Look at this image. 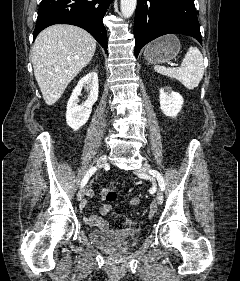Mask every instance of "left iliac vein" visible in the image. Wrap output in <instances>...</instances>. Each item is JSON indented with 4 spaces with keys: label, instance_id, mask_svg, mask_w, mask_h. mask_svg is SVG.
Here are the masks:
<instances>
[{
    "label": "left iliac vein",
    "instance_id": "4c4485c4",
    "mask_svg": "<svg viewBox=\"0 0 240 281\" xmlns=\"http://www.w3.org/2000/svg\"><path fill=\"white\" fill-rule=\"evenodd\" d=\"M150 165L148 163H143L142 166L137 170V175L144 177L148 175V172L150 171ZM163 202V193L161 189L157 190V203L162 204Z\"/></svg>",
    "mask_w": 240,
    "mask_h": 281
}]
</instances>
